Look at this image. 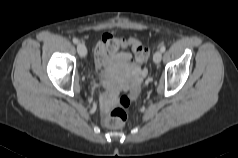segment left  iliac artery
<instances>
[{
	"instance_id": "1",
	"label": "left iliac artery",
	"mask_w": 238,
	"mask_h": 158,
	"mask_svg": "<svg viewBox=\"0 0 238 158\" xmlns=\"http://www.w3.org/2000/svg\"><path fill=\"white\" fill-rule=\"evenodd\" d=\"M166 50V47L164 45L161 46L160 51L163 53Z\"/></svg>"
}]
</instances>
